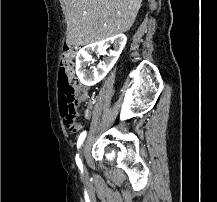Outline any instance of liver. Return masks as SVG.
I'll list each match as a JSON object with an SVG mask.
<instances>
[{"mask_svg":"<svg viewBox=\"0 0 217 202\" xmlns=\"http://www.w3.org/2000/svg\"><path fill=\"white\" fill-rule=\"evenodd\" d=\"M67 20L66 44L86 46L130 30L142 0H60Z\"/></svg>","mask_w":217,"mask_h":202,"instance_id":"6515ba94","label":"liver"}]
</instances>
